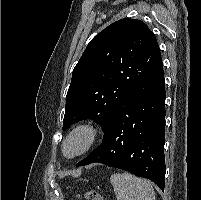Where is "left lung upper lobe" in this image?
<instances>
[{
	"instance_id": "1",
	"label": "left lung upper lobe",
	"mask_w": 201,
	"mask_h": 200,
	"mask_svg": "<svg viewBox=\"0 0 201 200\" xmlns=\"http://www.w3.org/2000/svg\"><path fill=\"white\" fill-rule=\"evenodd\" d=\"M161 59L153 32L140 21L118 20L87 45L72 72L63 130L94 119L102 129L122 100Z\"/></svg>"
}]
</instances>
